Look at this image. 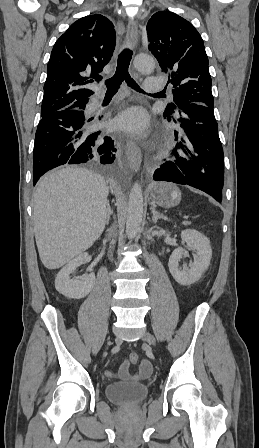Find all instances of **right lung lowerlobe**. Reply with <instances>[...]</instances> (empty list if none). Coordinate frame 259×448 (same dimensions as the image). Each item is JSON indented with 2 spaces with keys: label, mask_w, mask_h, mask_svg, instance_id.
Returning a JSON list of instances; mask_svg holds the SVG:
<instances>
[{
  "label": "right lung lower lobe",
  "mask_w": 259,
  "mask_h": 448,
  "mask_svg": "<svg viewBox=\"0 0 259 448\" xmlns=\"http://www.w3.org/2000/svg\"><path fill=\"white\" fill-rule=\"evenodd\" d=\"M87 103L42 116L33 150L34 185L48 170L66 163L110 164L115 159L112 138L98 126L102 117L88 119Z\"/></svg>",
  "instance_id": "1"
}]
</instances>
